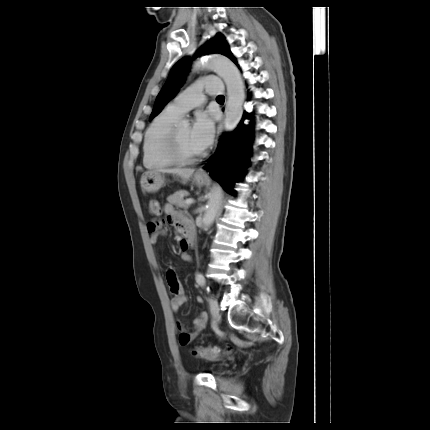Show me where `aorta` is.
<instances>
[{"label":"aorta","mask_w":430,"mask_h":430,"mask_svg":"<svg viewBox=\"0 0 430 430\" xmlns=\"http://www.w3.org/2000/svg\"><path fill=\"white\" fill-rule=\"evenodd\" d=\"M196 69L212 70L223 78L227 86L228 100L225 108L224 127L226 131L234 130L241 120L243 114V103L245 100V85L239 69L229 59L217 54H210L202 61L194 64ZM183 126L188 124L187 120L181 122ZM223 198L222 188L214 186L210 192L206 209L202 218L204 228H209L220 209Z\"/></svg>","instance_id":"1"}]
</instances>
